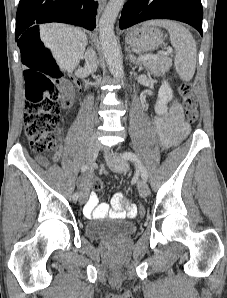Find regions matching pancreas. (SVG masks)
<instances>
[{
    "instance_id": "obj_1",
    "label": "pancreas",
    "mask_w": 227,
    "mask_h": 298,
    "mask_svg": "<svg viewBox=\"0 0 227 298\" xmlns=\"http://www.w3.org/2000/svg\"><path fill=\"white\" fill-rule=\"evenodd\" d=\"M142 64L153 74L165 73L172 66V59L164 56L157 60H146Z\"/></svg>"
}]
</instances>
